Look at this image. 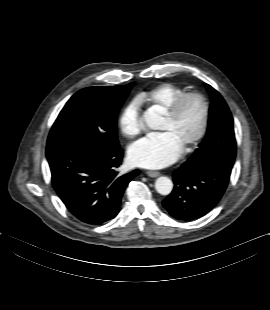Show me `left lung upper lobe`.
<instances>
[{"mask_svg": "<svg viewBox=\"0 0 270 310\" xmlns=\"http://www.w3.org/2000/svg\"><path fill=\"white\" fill-rule=\"evenodd\" d=\"M213 104L210 106L208 133L188 162L206 163L232 170L236 156L233 118L222 96L206 85Z\"/></svg>", "mask_w": 270, "mask_h": 310, "instance_id": "left-lung-upper-lobe-1", "label": "left lung upper lobe"}]
</instances>
